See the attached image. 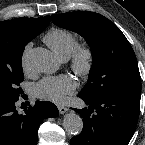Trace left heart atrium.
Segmentation results:
<instances>
[{
    "label": "left heart atrium",
    "mask_w": 145,
    "mask_h": 145,
    "mask_svg": "<svg viewBox=\"0 0 145 145\" xmlns=\"http://www.w3.org/2000/svg\"><path fill=\"white\" fill-rule=\"evenodd\" d=\"M75 88V79L71 75L62 74L43 78L34 86V94L40 99L61 103L66 95L71 94Z\"/></svg>",
    "instance_id": "obj_1"
}]
</instances>
